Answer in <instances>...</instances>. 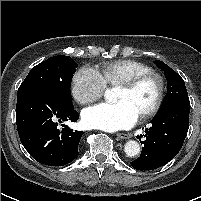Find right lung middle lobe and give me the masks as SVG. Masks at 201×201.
I'll return each instance as SVG.
<instances>
[{
	"label": "right lung middle lobe",
	"mask_w": 201,
	"mask_h": 201,
	"mask_svg": "<svg viewBox=\"0 0 201 201\" xmlns=\"http://www.w3.org/2000/svg\"><path fill=\"white\" fill-rule=\"evenodd\" d=\"M78 64L69 56H53L33 67L18 89L17 98L36 91L72 105L70 86Z\"/></svg>",
	"instance_id": "1"
}]
</instances>
